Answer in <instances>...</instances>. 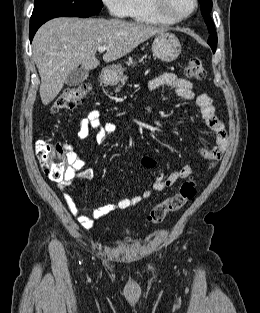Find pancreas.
Segmentation results:
<instances>
[{
	"instance_id": "1",
	"label": "pancreas",
	"mask_w": 260,
	"mask_h": 313,
	"mask_svg": "<svg viewBox=\"0 0 260 313\" xmlns=\"http://www.w3.org/2000/svg\"><path fill=\"white\" fill-rule=\"evenodd\" d=\"M128 77L125 75L121 78V85L119 84L118 87L115 89V92H119L121 87L125 84L127 81Z\"/></svg>"
}]
</instances>
